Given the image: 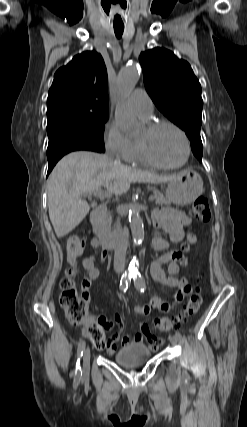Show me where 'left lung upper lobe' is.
<instances>
[{
  "label": "left lung upper lobe",
  "mask_w": 247,
  "mask_h": 427,
  "mask_svg": "<svg viewBox=\"0 0 247 427\" xmlns=\"http://www.w3.org/2000/svg\"><path fill=\"white\" fill-rule=\"evenodd\" d=\"M139 61L148 94L157 108L185 131L193 154L202 162L203 101L201 85L191 66L164 48L141 53Z\"/></svg>",
  "instance_id": "1"
}]
</instances>
